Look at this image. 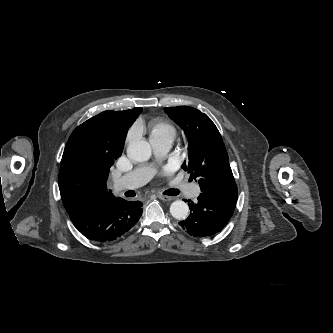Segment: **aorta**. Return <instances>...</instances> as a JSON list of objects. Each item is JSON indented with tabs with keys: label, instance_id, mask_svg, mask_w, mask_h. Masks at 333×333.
<instances>
[{
	"label": "aorta",
	"instance_id": "obj_1",
	"mask_svg": "<svg viewBox=\"0 0 333 333\" xmlns=\"http://www.w3.org/2000/svg\"><path fill=\"white\" fill-rule=\"evenodd\" d=\"M151 146L147 141H132L127 147V156L137 162L149 160L151 157ZM171 215L179 220L187 218L189 213L188 205L182 200H176L170 205Z\"/></svg>",
	"mask_w": 333,
	"mask_h": 333
}]
</instances>
